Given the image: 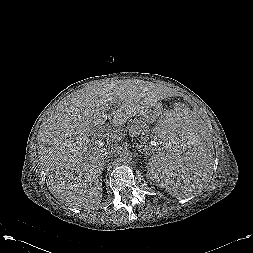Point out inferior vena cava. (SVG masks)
<instances>
[{"mask_svg": "<svg viewBox=\"0 0 253 253\" xmlns=\"http://www.w3.org/2000/svg\"><path fill=\"white\" fill-rule=\"evenodd\" d=\"M116 150H117V147H115L113 145H108L103 148V155H104V157H110L113 154H115Z\"/></svg>", "mask_w": 253, "mask_h": 253, "instance_id": "inferior-vena-cava-1", "label": "inferior vena cava"}]
</instances>
